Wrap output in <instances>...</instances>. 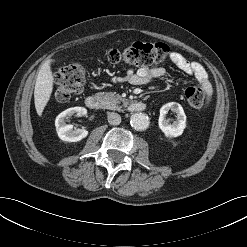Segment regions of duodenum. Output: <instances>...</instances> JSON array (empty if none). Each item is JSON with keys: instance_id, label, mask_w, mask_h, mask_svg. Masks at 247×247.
Returning a JSON list of instances; mask_svg holds the SVG:
<instances>
[{"instance_id": "410a0bca", "label": "duodenum", "mask_w": 247, "mask_h": 247, "mask_svg": "<svg viewBox=\"0 0 247 247\" xmlns=\"http://www.w3.org/2000/svg\"><path fill=\"white\" fill-rule=\"evenodd\" d=\"M86 106L92 110H101L103 108V101L97 95H89L85 100ZM145 103L141 101H133L129 108L133 112H141L145 110Z\"/></svg>"}]
</instances>
